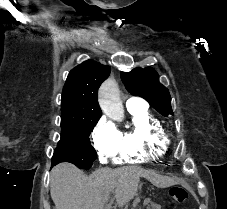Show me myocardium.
<instances>
[{"label": "myocardium", "instance_id": "f54148a6", "mask_svg": "<svg viewBox=\"0 0 227 209\" xmlns=\"http://www.w3.org/2000/svg\"><path fill=\"white\" fill-rule=\"evenodd\" d=\"M158 137L162 142H164L166 145H172L180 142V138L178 134L163 125L161 126Z\"/></svg>", "mask_w": 227, "mask_h": 209}]
</instances>
